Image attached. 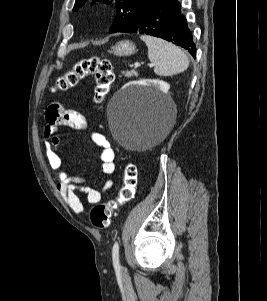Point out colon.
I'll return each instance as SVG.
<instances>
[{
	"mask_svg": "<svg viewBox=\"0 0 267 301\" xmlns=\"http://www.w3.org/2000/svg\"><path fill=\"white\" fill-rule=\"evenodd\" d=\"M87 76L95 78L94 100L96 103H101L109 93L115 78L111 62L107 59L96 56L81 59L57 79L54 89L60 91L68 90ZM136 184V169L133 165H127L124 169L122 186L118 195L114 199L97 204L92 208L90 212L92 224L99 229L108 228L116 208L134 197Z\"/></svg>",
	"mask_w": 267,
	"mask_h": 301,
	"instance_id": "5ec220e1",
	"label": "colon"
}]
</instances>
